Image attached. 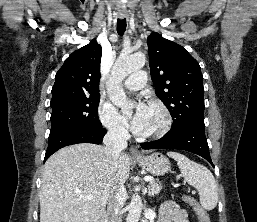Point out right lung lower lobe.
<instances>
[{
	"label": "right lung lower lobe",
	"instance_id": "1",
	"mask_svg": "<svg viewBox=\"0 0 257 222\" xmlns=\"http://www.w3.org/2000/svg\"><path fill=\"white\" fill-rule=\"evenodd\" d=\"M106 129L67 128L49 135L44 162L62 147L77 143L100 144Z\"/></svg>",
	"mask_w": 257,
	"mask_h": 222
}]
</instances>
